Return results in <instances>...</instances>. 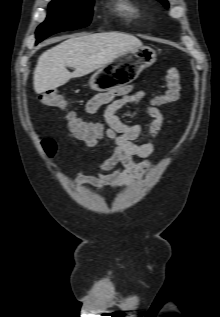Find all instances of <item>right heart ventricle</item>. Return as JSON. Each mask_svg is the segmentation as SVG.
Returning a JSON list of instances; mask_svg holds the SVG:
<instances>
[{"mask_svg": "<svg viewBox=\"0 0 220 317\" xmlns=\"http://www.w3.org/2000/svg\"><path fill=\"white\" fill-rule=\"evenodd\" d=\"M117 7L119 12L127 22L133 21L138 16V9L132 2L128 0H121L118 3Z\"/></svg>", "mask_w": 220, "mask_h": 317, "instance_id": "obj_1", "label": "right heart ventricle"}]
</instances>
